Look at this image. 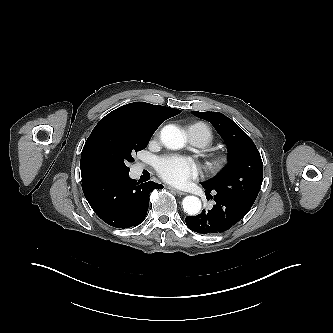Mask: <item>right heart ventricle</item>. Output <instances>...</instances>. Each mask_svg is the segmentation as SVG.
Here are the masks:
<instances>
[{"instance_id": "right-heart-ventricle-1", "label": "right heart ventricle", "mask_w": 333, "mask_h": 333, "mask_svg": "<svg viewBox=\"0 0 333 333\" xmlns=\"http://www.w3.org/2000/svg\"><path fill=\"white\" fill-rule=\"evenodd\" d=\"M191 126H195V127L198 128L200 134L202 135V137L205 140V145H208L212 141V139H213L212 132L206 124H204V123H195Z\"/></svg>"}]
</instances>
